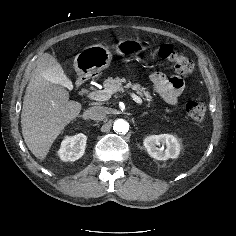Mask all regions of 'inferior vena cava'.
<instances>
[{"mask_svg":"<svg viewBox=\"0 0 236 236\" xmlns=\"http://www.w3.org/2000/svg\"><path fill=\"white\" fill-rule=\"evenodd\" d=\"M106 113V108L101 106H93L86 111V116L92 120H102L105 118Z\"/></svg>","mask_w":236,"mask_h":236,"instance_id":"obj_1","label":"inferior vena cava"}]
</instances>
